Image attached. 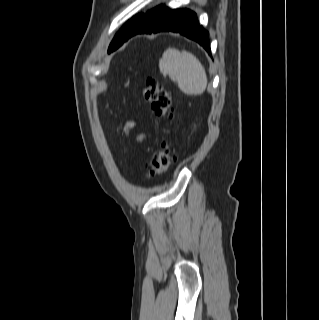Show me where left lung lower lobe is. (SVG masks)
Here are the masks:
<instances>
[{"instance_id":"obj_1","label":"left lung lower lobe","mask_w":319,"mask_h":320,"mask_svg":"<svg viewBox=\"0 0 319 320\" xmlns=\"http://www.w3.org/2000/svg\"><path fill=\"white\" fill-rule=\"evenodd\" d=\"M161 31L180 33L198 42L211 55L208 33L199 25L196 14L187 9L171 10L163 5L144 14L126 35L124 42L136 34Z\"/></svg>"}]
</instances>
